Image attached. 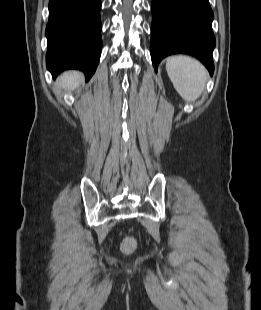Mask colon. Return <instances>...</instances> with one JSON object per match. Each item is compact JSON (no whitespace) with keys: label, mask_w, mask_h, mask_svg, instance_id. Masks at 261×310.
<instances>
[{"label":"colon","mask_w":261,"mask_h":310,"mask_svg":"<svg viewBox=\"0 0 261 310\" xmlns=\"http://www.w3.org/2000/svg\"><path fill=\"white\" fill-rule=\"evenodd\" d=\"M135 240L132 237L126 238L122 243V249L124 252L129 253L135 248Z\"/></svg>","instance_id":"obj_1"}]
</instances>
